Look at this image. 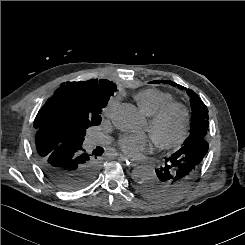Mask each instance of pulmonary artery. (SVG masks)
I'll return each instance as SVG.
<instances>
[{
    "mask_svg": "<svg viewBox=\"0 0 245 245\" xmlns=\"http://www.w3.org/2000/svg\"><path fill=\"white\" fill-rule=\"evenodd\" d=\"M107 142L108 139L101 135L92 136L87 140V144L89 147H94L96 145H103L106 144Z\"/></svg>",
    "mask_w": 245,
    "mask_h": 245,
    "instance_id": "e3ab8cb5",
    "label": "pulmonary artery"
}]
</instances>
